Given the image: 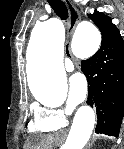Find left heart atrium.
Listing matches in <instances>:
<instances>
[{"label": "left heart atrium", "instance_id": "1", "mask_svg": "<svg viewBox=\"0 0 124 149\" xmlns=\"http://www.w3.org/2000/svg\"><path fill=\"white\" fill-rule=\"evenodd\" d=\"M87 95L86 79L80 75L75 74L69 79V104L77 106L81 104Z\"/></svg>", "mask_w": 124, "mask_h": 149}]
</instances>
